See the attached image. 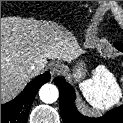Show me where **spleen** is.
Listing matches in <instances>:
<instances>
[{"label":"spleen","mask_w":123,"mask_h":123,"mask_svg":"<svg viewBox=\"0 0 123 123\" xmlns=\"http://www.w3.org/2000/svg\"><path fill=\"white\" fill-rule=\"evenodd\" d=\"M79 87L86 101L100 110L118 104L122 97L115 76L103 65L98 66L93 77L81 82Z\"/></svg>","instance_id":"spleen-1"}]
</instances>
